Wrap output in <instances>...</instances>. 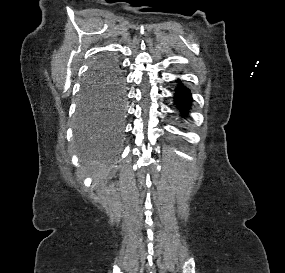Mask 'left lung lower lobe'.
<instances>
[{"label":"left lung lower lobe","instance_id":"0a47b994","mask_svg":"<svg viewBox=\"0 0 285 273\" xmlns=\"http://www.w3.org/2000/svg\"><path fill=\"white\" fill-rule=\"evenodd\" d=\"M178 82H180V80H178ZM191 100V93L186 87L180 85L176 88L175 101L178 104V108L184 113L190 108Z\"/></svg>","mask_w":285,"mask_h":273}]
</instances>
